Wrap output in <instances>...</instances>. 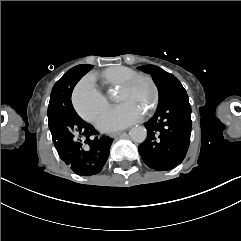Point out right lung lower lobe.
Segmentation results:
<instances>
[{
	"label": "right lung lower lobe",
	"instance_id": "1",
	"mask_svg": "<svg viewBox=\"0 0 241 241\" xmlns=\"http://www.w3.org/2000/svg\"><path fill=\"white\" fill-rule=\"evenodd\" d=\"M93 66L79 65L73 73L70 80V88L73 90L76 83L84 76ZM85 138L83 146L76 134ZM96 131L91 124L86 123L80 117L70 120L63 124L55 136L54 145L59 157L79 175L91 176L99 173L107 162L110 147L113 139L95 137Z\"/></svg>",
	"mask_w": 241,
	"mask_h": 241
}]
</instances>
